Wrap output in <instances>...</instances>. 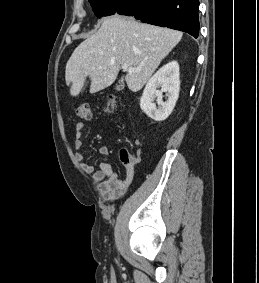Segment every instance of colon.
<instances>
[{
	"label": "colon",
	"instance_id": "obj_1",
	"mask_svg": "<svg viewBox=\"0 0 259 283\" xmlns=\"http://www.w3.org/2000/svg\"><path fill=\"white\" fill-rule=\"evenodd\" d=\"M123 109L122 103L114 96L108 97L105 102L104 110L107 113H114ZM77 116L83 120L92 119V112L88 103H81L77 108ZM121 160L124 164H135L137 156L127 149H122Z\"/></svg>",
	"mask_w": 259,
	"mask_h": 283
}]
</instances>
